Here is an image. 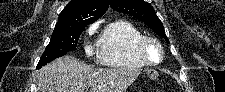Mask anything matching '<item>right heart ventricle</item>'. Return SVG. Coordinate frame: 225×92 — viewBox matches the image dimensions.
Returning a JSON list of instances; mask_svg holds the SVG:
<instances>
[{
  "label": "right heart ventricle",
  "mask_w": 225,
  "mask_h": 92,
  "mask_svg": "<svg viewBox=\"0 0 225 92\" xmlns=\"http://www.w3.org/2000/svg\"><path fill=\"white\" fill-rule=\"evenodd\" d=\"M143 32L126 19L109 22L99 39L98 57L107 67H143L137 44Z\"/></svg>",
  "instance_id": "right-heart-ventricle-1"
}]
</instances>
